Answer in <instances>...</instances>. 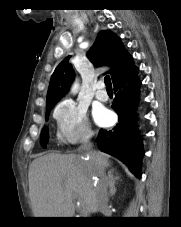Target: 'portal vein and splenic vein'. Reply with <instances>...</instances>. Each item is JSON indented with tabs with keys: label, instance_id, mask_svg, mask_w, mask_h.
I'll use <instances>...</instances> for the list:
<instances>
[{
	"label": "portal vein and splenic vein",
	"instance_id": "obj_1",
	"mask_svg": "<svg viewBox=\"0 0 181 227\" xmlns=\"http://www.w3.org/2000/svg\"><path fill=\"white\" fill-rule=\"evenodd\" d=\"M80 203H81L82 208L85 209V205L83 204V202L80 201Z\"/></svg>",
	"mask_w": 181,
	"mask_h": 227
}]
</instances>
